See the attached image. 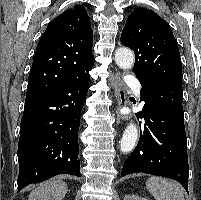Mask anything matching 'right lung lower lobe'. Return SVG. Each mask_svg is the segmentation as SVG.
Wrapping results in <instances>:
<instances>
[{
	"mask_svg": "<svg viewBox=\"0 0 201 200\" xmlns=\"http://www.w3.org/2000/svg\"><path fill=\"white\" fill-rule=\"evenodd\" d=\"M90 76L26 96L18 144V192L58 174L80 177L78 130Z\"/></svg>",
	"mask_w": 201,
	"mask_h": 200,
	"instance_id": "98d812e1",
	"label": "right lung lower lobe"
}]
</instances>
